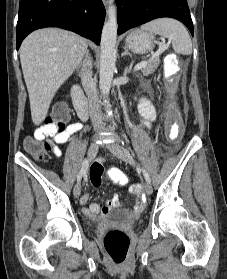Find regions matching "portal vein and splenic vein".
I'll use <instances>...</instances> for the list:
<instances>
[{
  "mask_svg": "<svg viewBox=\"0 0 227 279\" xmlns=\"http://www.w3.org/2000/svg\"><path fill=\"white\" fill-rule=\"evenodd\" d=\"M168 48V45L164 42L161 44V46L159 47V49L154 52L151 56V58L147 61H142L138 64L135 65L134 69L135 70H139L142 67L146 66L151 60H153L154 58L158 57L161 53H163L166 49Z\"/></svg>",
  "mask_w": 227,
  "mask_h": 279,
  "instance_id": "1",
  "label": "portal vein and splenic vein"
}]
</instances>
